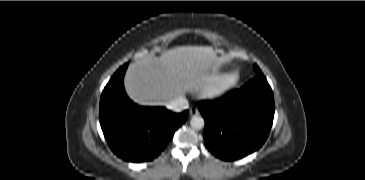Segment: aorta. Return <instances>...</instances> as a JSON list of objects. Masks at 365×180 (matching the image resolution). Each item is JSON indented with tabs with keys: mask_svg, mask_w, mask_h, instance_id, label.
Returning a JSON list of instances; mask_svg holds the SVG:
<instances>
[{
	"mask_svg": "<svg viewBox=\"0 0 365 180\" xmlns=\"http://www.w3.org/2000/svg\"><path fill=\"white\" fill-rule=\"evenodd\" d=\"M190 125L196 130H200L204 127L205 121L201 116H193L190 120Z\"/></svg>",
	"mask_w": 365,
	"mask_h": 180,
	"instance_id": "obj_1",
	"label": "aorta"
}]
</instances>
